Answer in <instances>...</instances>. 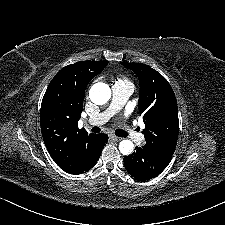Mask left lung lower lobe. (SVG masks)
<instances>
[{
  "label": "left lung lower lobe",
  "instance_id": "left-lung-lower-lobe-1",
  "mask_svg": "<svg viewBox=\"0 0 225 225\" xmlns=\"http://www.w3.org/2000/svg\"><path fill=\"white\" fill-rule=\"evenodd\" d=\"M124 157V166L131 176L146 181L158 176L170 163L172 155L143 146Z\"/></svg>",
  "mask_w": 225,
  "mask_h": 225
}]
</instances>
